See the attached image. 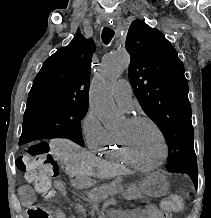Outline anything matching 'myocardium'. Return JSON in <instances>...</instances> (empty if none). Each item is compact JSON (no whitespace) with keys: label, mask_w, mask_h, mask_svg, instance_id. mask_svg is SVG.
Returning a JSON list of instances; mask_svg holds the SVG:
<instances>
[{"label":"myocardium","mask_w":211,"mask_h":218,"mask_svg":"<svg viewBox=\"0 0 211 218\" xmlns=\"http://www.w3.org/2000/svg\"><path fill=\"white\" fill-rule=\"evenodd\" d=\"M128 121L131 124H136L139 122H147L157 131L159 138H160L161 146H162V157L157 163H154V164H148V163H144V162L138 160L131 152L126 138L123 135L117 133L116 138H117V141H118L123 153L127 156V158L133 164H135L139 167L146 168V169H153V168L160 166L166 157V140H165V135H164L162 129L160 128V126L152 118H150L148 116H132L128 119Z\"/></svg>","instance_id":"1"}]
</instances>
